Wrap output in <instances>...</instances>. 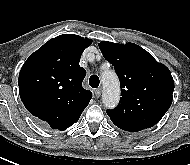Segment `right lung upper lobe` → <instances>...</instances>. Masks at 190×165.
I'll list each match as a JSON object with an SVG mask.
<instances>
[{"mask_svg":"<svg viewBox=\"0 0 190 165\" xmlns=\"http://www.w3.org/2000/svg\"><path fill=\"white\" fill-rule=\"evenodd\" d=\"M91 39L64 34L50 39L24 63L19 73L20 98L26 109L52 129L76 123L92 93L82 87L86 76L79 61Z\"/></svg>","mask_w":190,"mask_h":165,"instance_id":"cb5924a9","label":"right lung upper lobe"}]
</instances>
